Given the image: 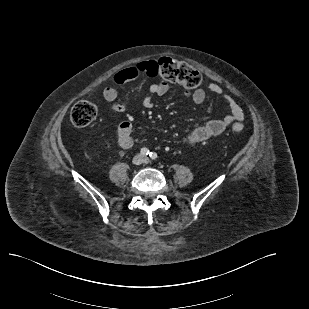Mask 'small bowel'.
<instances>
[{
    "label": "small bowel",
    "mask_w": 309,
    "mask_h": 309,
    "mask_svg": "<svg viewBox=\"0 0 309 309\" xmlns=\"http://www.w3.org/2000/svg\"><path fill=\"white\" fill-rule=\"evenodd\" d=\"M157 75L156 68L151 65V61H143L123 68L114 75L112 85L107 86L103 90V97L106 101L112 103V109L115 112H123L126 110L127 105L124 102L116 101L118 95L117 86L124 85L141 76L156 77ZM208 89L224 99L230 109V113L221 119L210 120L191 128L186 135V140L190 145H196L214 138L223 133L230 124L241 122L244 119V113L240 105L230 95L226 94L220 85L211 83ZM168 90L169 85L164 81L152 84L147 94L142 98V105L146 108H152L154 97L164 96ZM186 95L196 105L202 104L206 98V92L203 88H196L193 91L187 92ZM117 135L119 145L122 148L129 149L133 146L132 124L129 120L119 124Z\"/></svg>",
    "instance_id": "1"
}]
</instances>
